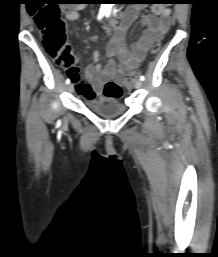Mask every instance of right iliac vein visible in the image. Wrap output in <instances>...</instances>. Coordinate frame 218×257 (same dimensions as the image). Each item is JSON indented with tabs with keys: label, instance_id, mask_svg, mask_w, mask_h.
<instances>
[{
	"label": "right iliac vein",
	"instance_id": "1",
	"mask_svg": "<svg viewBox=\"0 0 218 257\" xmlns=\"http://www.w3.org/2000/svg\"><path fill=\"white\" fill-rule=\"evenodd\" d=\"M67 90L72 93L74 91V86L73 84H69L68 87H67Z\"/></svg>",
	"mask_w": 218,
	"mask_h": 257
}]
</instances>
